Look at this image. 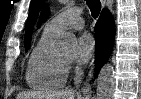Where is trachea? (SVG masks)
I'll use <instances>...</instances> for the list:
<instances>
[{
  "label": "trachea",
  "mask_w": 141,
  "mask_h": 99,
  "mask_svg": "<svg viewBox=\"0 0 141 99\" xmlns=\"http://www.w3.org/2000/svg\"><path fill=\"white\" fill-rule=\"evenodd\" d=\"M87 5L90 8L93 18H97L100 13V9H101L100 1L99 0H87Z\"/></svg>",
  "instance_id": "3493384b"
}]
</instances>
